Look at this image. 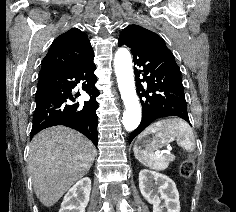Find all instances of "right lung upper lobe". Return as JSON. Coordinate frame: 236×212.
<instances>
[{
  "label": "right lung upper lobe",
  "mask_w": 236,
  "mask_h": 212,
  "mask_svg": "<svg viewBox=\"0 0 236 212\" xmlns=\"http://www.w3.org/2000/svg\"><path fill=\"white\" fill-rule=\"evenodd\" d=\"M90 51L92 47L87 35L77 28H72L53 42L42 61L40 73L71 67Z\"/></svg>",
  "instance_id": "obj_1"
}]
</instances>
